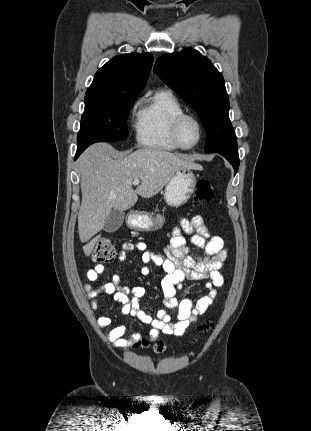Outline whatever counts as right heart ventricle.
Returning <instances> with one entry per match:
<instances>
[{
  "label": "right heart ventricle",
  "instance_id": "obj_1",
  "mask_svg": "<svg viewBox=\"0 0 311 431\" xmlns=\"http://www.w3.org/2000/svg\"><path fill=\"white\" fill-rule=\"evenodd\" d=\"M182 112H185V108L172 91L161 90L155 93L140 110L135 122L137 144L157 151L179 150L173 139L172 124Z\"/></svg>",
  "mask_w": 311,
  "mask_h": 431
}]
</instances>
